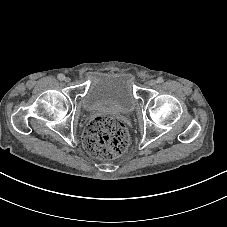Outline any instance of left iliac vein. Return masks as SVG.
I'll use <instances>...</instances> for the list:
<instances>
[{"label":"left iliac vein","mask_w":227,"mask_h":227,"mask_svg":"<svg viewBox=\"0 0 227 227\" xmlns=\"http://www.w3.org/2000/svg\"><path fill=\"white\" fill-rule=\"evenodd\" d=\"M149 86L153 87L156 85V80L152 79L148 82Z\"/></svg>","instance_id":"1"}]
</instances>
